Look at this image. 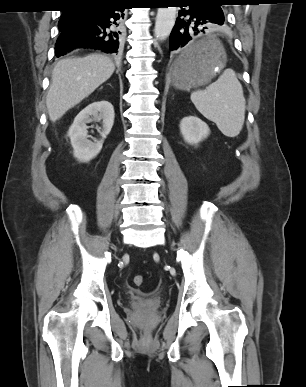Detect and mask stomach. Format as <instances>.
<instances>
[{"instance_id":"obj_1","label":"stomach","mask_w":306,"mask_h":387,"mask_svg":"<svg viewBox=\"0 0 306 387\" xmlns=\"http://www.w3.org/2000/svg\"><path fill=\"white\" fill-rule=\"evenodd\" d=\"M196 48H202L204 52L183 64L182 56ZM226 60L224 48L213 36L196 41L175 61L172 69L173 85L176 89L186 91L205 85L215 77L216 69L220 70L225 66Z\"/></svg>"}]
</instances>
